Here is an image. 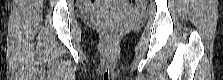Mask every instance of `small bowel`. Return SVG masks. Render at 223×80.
I'll list each match as a JSON object with an SVG mask.
<instances>
[{"label": "small bowel", "instance_id": "1", "mask_svg": "<svg viewBox=\"0 0 223 80\" xmlns=\"http://www.w3.org/2000/svg\"><path fill=\"white\" fill-rule=\"evenodd\" d=\"M95 3L94 2H89L86 4V8L89 10H93L95 8Z\"/></svg>", "mask_w": 223, "mask_h": 80}]
</instances>
